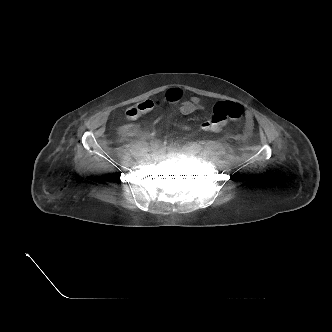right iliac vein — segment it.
<instances>
[{"label": "right iliac vein", "instance_id": "obj_1", "mask_svg": "<svg viewBox=\"0 0 332 332\" xmlns=\"http://www.w3.org/2000/svg\"><path fill=\"white\" fill-rule=\"evenodd\" d=\"M151 156L153 159H157L160 156V151L159 150H155L151 153Z\"/></svg>", "mask_w": 332, "mask_h": 332}]
</instances>
